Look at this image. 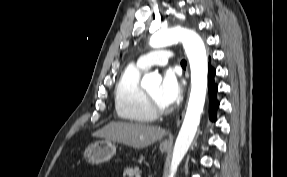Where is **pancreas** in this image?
Segmentation results:
<instances>
[{"label": "pancreas", "instance_id": "pancreas-1", "mask_svg": "<svg viewBox=\"0 0 287 177\" xmlns=\"http://www.w3.org/2000/svg\"><path fill=\"white\" fill-rule=\"evenodd\" d=\"M140 177V170L138 167L126 168L123 172V177Z\"/></svg>", "mask_w": 287, "mask_h": 177}]
</instances>
